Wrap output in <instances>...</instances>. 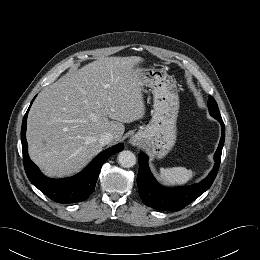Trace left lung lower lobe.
Returning <instances> with one entry per match:
<instances>
[{
	"label": "left lung lower lobe",
	"mask_w": 260,
	"mask_h": 260,
	"mask_svg": "<svg viewBox=\"0 0 260 260\" xmlns=\"http://www.w3.org/2000/svg\"><path fill=\"white\" fill-rule=\"evenodd\" d=\"M221 124V139L214 155L215 165L209 175L200 183L180 188H165L159 185L148 167V158L139 154V173L137 176L138 193L144 204L158 210L179 211L203 194L213 183L221 160L225 140V126L221 118H216Z\"/></svg>",
	"instance_id": "0a47b994"
}]
</instances>
